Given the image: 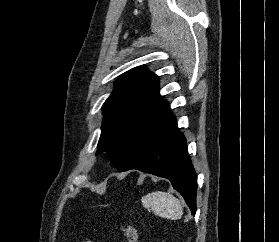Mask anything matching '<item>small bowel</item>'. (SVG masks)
Here are the masks:
<instances>
[{
  "instance_id": "small-bowel-1",
  "label": "small bowel",
  "mask_w": 279,
  "mask_h": 242,
  "mask_svg": "<svg viewBox=\"0 0 279 242\" xmlns=\"http://www.w3.org/2000/svg\"><path fill=\"white\" fill-rule=\"evenodd\" d=\"M83 242H93V241L87 240V241H83Z\"/></svg>"
}]
</instances>
